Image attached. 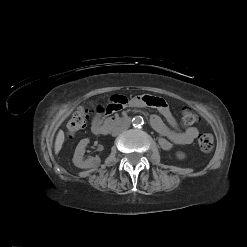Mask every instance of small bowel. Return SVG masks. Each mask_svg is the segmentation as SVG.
I'll return each mask as SVG.
<instances>
[{
    "mask_svg": "<svg viewBox=\"0 0 247 247\" xmlns=\"http://www.w3.org/2000/svg\"><path fill=\"white\" fill-rule=\"evenodd\" d=\"M128 104L135 108H144L147 106L153 107L157 109L162 117L167 121L169 126H167L158 115H152L150 118L152 127L160 135L158 143L163 150H170L173 145L191 144L199 134L196 127H189L185 130H181L169 106L163 99L145 95L135 97L129 102L128 98L121 94L113 95L108 99L107 104L104 105L103 103H100L95 107V110L99 114L92 120L91 128L93 132H95L101 124L103 114L110 115L119 112L126 108Z\"/></svg>",
    "mask_w": 247,
    "mask_h": 247,
    "instance_id": "small-bowel-1",
    "label": "small bowel"
}]
</instances>
